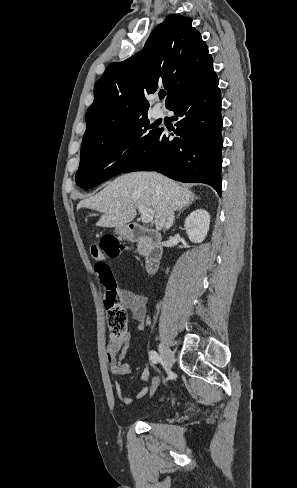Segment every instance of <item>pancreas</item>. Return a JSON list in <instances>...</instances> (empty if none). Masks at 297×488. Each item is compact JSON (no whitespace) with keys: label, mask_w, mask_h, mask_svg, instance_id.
Wrapping results in <instances>:
<instances>
[{"label":"pancreas","mask_w":297,"mask_h":488,"mask_svg":"<svg viewBox=\"0 0 297 488\" xmlns=\"http://www.w3.org/2000/svg\"><path fill=\"white\" fill-rule=\"evenodd\" d=\"M137 251L139 252L140 255H145L146 244L145 243L138 244Z\"/></svg>","instance_id":"obj_1"}]
</instances>
